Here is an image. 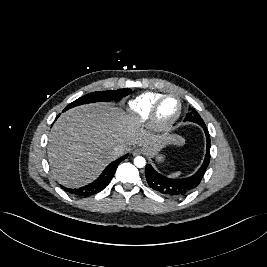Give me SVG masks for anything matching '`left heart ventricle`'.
<instances>
[{
    "mask_svg": "<svg viewBox=\"0 0 267 267\" xmlns=\"http://www.w3.org/2000/svg\"><path fill=\"white\" fill-rule=\"evenodd\" d=\"M179 108L178 101L175 98L166 99L158 112V118L162 122H168L174 118Z\"/></svg>",
    "mask_w": 267,
    "mask_h": 267,
    "instance_id": "left-heart-ventricle-1",
    "label": "left heart ventricle"
}]
</instances>
